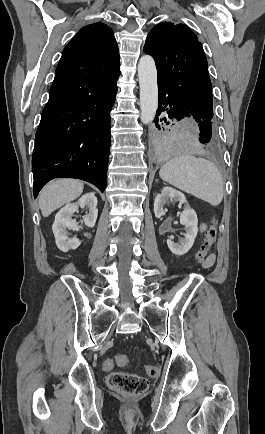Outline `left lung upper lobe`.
I'll list each match as a JSON object with an SVG mask.
<instances>
[{
	"label": "left lung upper lobe",
	"mask_w": 265,
	"mask_h": 434,
	"mask_svg": "<svg viewBox=\"0 0 265 434\" xmlns=\"http://www.w3.org/2000/svg\"><path fill=\"white\" fill-rule=\"evenodd\" d=\"M144 52L155 59L158 83L179 97L192 114L215 124L207 59L192 30L184 24L161 22L149 32Z\"/></svg>",
	"instance_id": "left-lung-upper-lobe-1"
}]
</instances>
